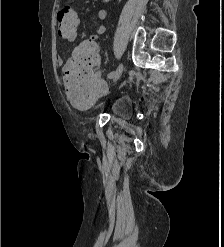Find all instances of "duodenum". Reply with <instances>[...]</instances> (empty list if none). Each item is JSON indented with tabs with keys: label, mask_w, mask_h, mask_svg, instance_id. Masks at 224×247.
<instances>
[{
	"label": "duodenum",
	"mask_w": 224,
	"mask_h": 247,
	"mask_svg": "<svg viewBox=\"0 0 224 247\" xmlns=\"http://www.w3.org/2000/svg\"><path fill=\"white\" fill-rule=\"evenodd\" d=\"M109 0H104V2H108Z\"/></svg>",
	"instance_id": "410a0bca"
}]
</instances>
